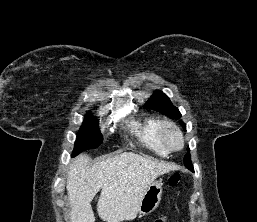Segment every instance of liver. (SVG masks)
Instances as JSON below:
<instances>
[{"label": "liver", "instance_id": "liver-1", "mask_svg": "<svg viewBox=\"0 0 257 222\" xmlns=\"http://www.w3.org/2000/svg\"><path fill=\"white\" fill-rule=\"evenodd\" d=\"M86 154L77 156L69 166L67 193L71 222H94L91 201L100 191L99 217L105 222L133 220L142 197L160 175L178 169L171 163L140 156L133 152L89 164Z\"/></svg>", "mask_w": 257, "mask_h": 222}]
</instances>
